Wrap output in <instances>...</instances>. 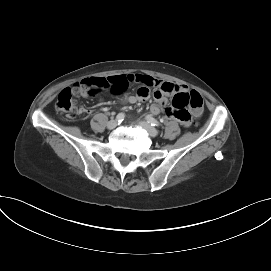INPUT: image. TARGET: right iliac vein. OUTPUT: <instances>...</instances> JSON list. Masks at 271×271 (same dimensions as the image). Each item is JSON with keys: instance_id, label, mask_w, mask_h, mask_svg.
Returning <instances> with one entry per match:
<instances>
[{"instance_id": "right-iliac-vein-1", "label": "right iliac vein", "mask_w": 271, "mask_h": 271, "mask_svg": "<svg viewBox=\"0 0 271 271\" xmlns=\"http://www.w3.org/2000/svg\"><path fill=\"white\" fill-rule=\"evenodd\" d=\"M118 125L117 121L116 120H110L107 124V128L112 130L114 128H116Z\"/></svg>"}]
</instances>
